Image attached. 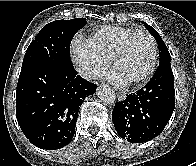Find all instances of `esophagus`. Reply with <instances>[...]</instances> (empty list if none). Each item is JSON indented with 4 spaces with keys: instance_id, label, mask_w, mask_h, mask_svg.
<instances>
[{
    "instance_id": "obj_1",
    "label": "esophagus",
    "mask_w": 196,
    "mask_h": 166,
    "mask_svg": "<svg viewBox=\"0 0 196 166\" xmlns=\"http://www.w3.org/2000/svg\"><path fill=\"white\" fill-rule=\"evenodd\" d=\"M117 97L120 101H123L126 99V94L124 92H117Z\"/></svg>"
}]
</instances>
